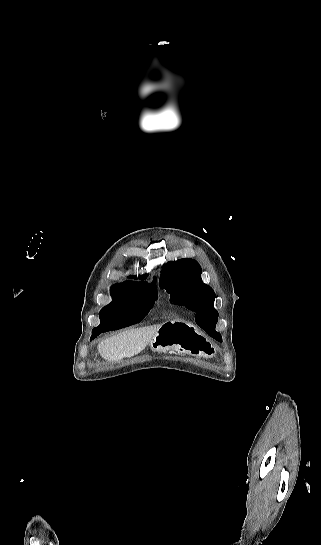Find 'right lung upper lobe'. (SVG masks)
Listing matches in <instances>:
<instances>
[{"instance_id":"obj_1","label":"right lung upper lobe","mask_w":321,"mask_h":545,"mask_svg":"<svg viewBox=\"0 0 321 545\" xmlns=\"http://www.w3.org/2000/svg\"><path fill=\"white\" fill-rule=\"evenodd\" d=\"M143 278H146V275L143 276ZM111 288L129 289V290H146V289H156V286H155V280L152 285H149L147 282L125 281L124 283H121V284H115Z\"/></svg>"}]
</instances>
